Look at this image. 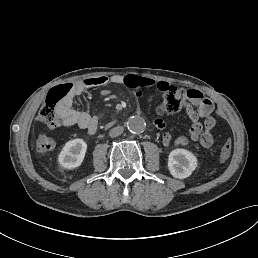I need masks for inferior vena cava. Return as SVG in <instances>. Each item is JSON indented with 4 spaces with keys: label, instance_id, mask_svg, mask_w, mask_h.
Masks as SVG:
<instances>
[{
    "label": "inferior vena cava",
    "instance_id": "obj_1",
    "mask_svg": "<svg viewBox=\"0 0 258 258\" xmlns=\"http://www.w3.org/2000/svg\"><path fill=\"white\" fill-rule=\"evenodd\" d=\"M124 131V128L122 126H116L114 128H112L109 132L110 137H117L119 135H121Z\"/></svg>",
    "mask_w": 258,
    "mask_h": 258
}]
</instances>
